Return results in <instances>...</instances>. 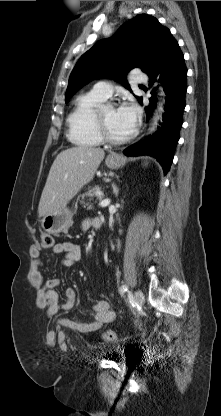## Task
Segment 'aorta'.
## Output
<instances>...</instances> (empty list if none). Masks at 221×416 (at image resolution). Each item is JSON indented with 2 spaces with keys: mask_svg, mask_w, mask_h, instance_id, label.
I'll return each mask as SVG.
<instances>
[{
  "mask_svg": "<svg viewBox=\"0 0 221 416\" xmlns=\"http://www.w3.org/2000/svg\"><path fill=\"white\" fill-rule=\"evenodd\" d=\"M160 95H161V96H163V92H161V93H160ZM163 104H164V102H163V101H161V102L159 103V109H160L161 111H163ZM156 127H157V119H155V121H154V123H153V126H152V128L150 129V131H151V132H152V131H154Z\"/></svg>",
  "mask_w": 221,
  "mask_h": 416,
  "instance_id": "obj_1",
  "label": "aorta"
}]
</instances>
